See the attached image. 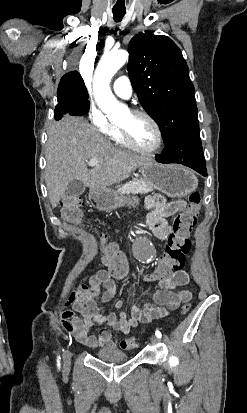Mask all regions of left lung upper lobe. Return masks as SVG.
I'll list each match as a JSON object with an SVG mask.
<instances>
[{
    "mask_svg": "<svg viewBox=\"0 0 247 413\" xmlns=\"http://www.w3.org/2000/svg\"><path fill=\"white\" fill-rule=\"evenodd\" d=\"M128 52L132 86L159 125L165 145L178 137L200 136L194 86L177 45L167 36L140 33Z\"/></svg>",
    "mask_w": 247,
    "mask_h": 413,
    "instance_id": "left-lung-upper-lobe-1",
    "label": "left lung upper lobe"
}]
</instances>
